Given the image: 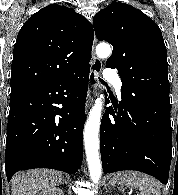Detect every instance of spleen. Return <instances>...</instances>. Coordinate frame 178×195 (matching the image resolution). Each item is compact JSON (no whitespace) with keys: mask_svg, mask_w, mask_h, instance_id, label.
<instances>
[{"mask_svg":"<svg viewBox=\"0 0 178 195\" xmlns=\"http://www.w3.org/2000/svg\"><path fill=\"white\" fill-rule=\"evenodd\" d=\"M114 183L136 188L138 195H161L160 183L153 177L146 174L126 171L114 175Z\"/></svg>","mask_w":178,"mask_h":195,"instance_id":"3e777b00","label":"spleen"}]
</instances>
